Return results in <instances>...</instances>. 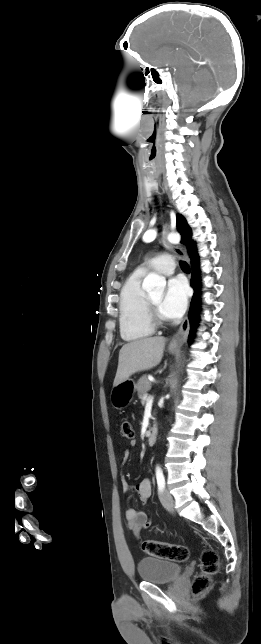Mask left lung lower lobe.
Instances as JSON below:
<instances>
[{
	"instance_id": "0a47b994",
	"label": "left lung lower lobe",
	"mask_w": 261,
	"mask_h": 644,
	"mask_svg": "<svg viewBox=\"0 0 261 644\" xmlns=\"http://www.w3.org/2000/svg\"><path fill=\"white\" fill-rule=\"evenodd\" d=\"M192 266V277H191V287L194 289V295L191 301L189 309V320H190V339L194 336V331L198 322L199 314V291L201 288L200 285V269H199V258L195 257L191 259Z\"/></svg>"
}]
</instances>
